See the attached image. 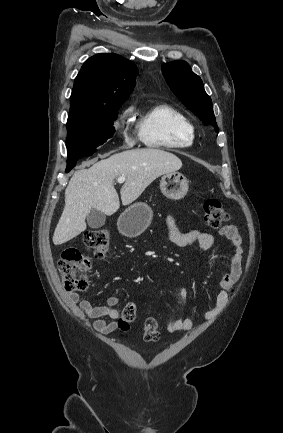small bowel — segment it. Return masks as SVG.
Wrapping results in <instances>:
<instances>
[{
  "mask_svg": "<svg viewBox=\"0 0 283 433\" xmlns=\"http://www.w3.org/2000/svg\"><path fill=\"white\" fill-rule=\"evenodd\" d=\"M166 227L169 240L176 246L186 247L193 244L198 245L203 250H209L215 245V237L201 230H190L182 232L179 230L176 220L172 215L166 219ZM220 235L226 238L232 245L233 251L228 260V270L220 280V291L216 296L215 306L206 311L204 318L213 320L228 305L231 291L240 278L241 259H242V238L238 229L234 225H225L220 229ZM70 303L76 305L77 310L93 320V328L101 334H109L116 330L119 311L116 306L120 303L118 296L108 297L105 305H93L90 301L80 299L77 293L69 296ZM193 321L190 318H177L167 325L170 333L186 332L192 329Z\"/></svg>",
  "mask_w": 283,
  "mask_h": 433,
  "instance_id": "1",
  "label": "small bowel"
}]
</instances>
